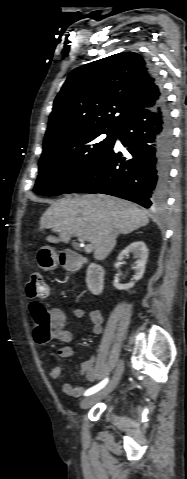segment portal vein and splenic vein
Masks as SVG:
<instances>
[{"mask_svg":"<svg viewBox=\"0 0 187 479\" xmlns=\"http://www.w3.org/2000/svg\"><path fill=\"white\" fill-rule=\"evenodd\" d=\"M80 241L84 243V240L80 239ZM92 250H93L92 244H86L85 245V251L86 252H91Z\"/></svg>","mask_w":187,"mask_h":479,"instance_id":"portal-vein-and-splenic-vein-1","label":"portal vein and splenic vein"}]
</instances>
